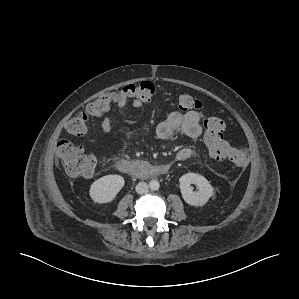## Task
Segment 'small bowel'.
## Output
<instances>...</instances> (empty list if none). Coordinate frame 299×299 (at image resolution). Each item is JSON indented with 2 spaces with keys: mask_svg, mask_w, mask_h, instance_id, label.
I'll list each match as a JSON object with an SVG mask.
<instances>
[{
  "mask_svg": "<svg viewBox=\"0 0 299 299\" xmlns=\"http://www.w3.org/2000/svg\"><path fill=\"white\" fill-rule=\"evenodd\" d=\"M109 101L116 105L118 113L124 114L128 101L132 100L130 108L137 109L142 106L139 100L131 99L124 91H114L107 95ZM202 114L196 111L182 113L174 111L169 116L158 124L156 127V135L159 139L166 140L174 134L181 132L190 138H198L202 135L203 129L201 126ZM112 127V117L105 115L100 123V131L103 135L110 133ZM193 151L189 147L181 148L176 155L177 160L185 161L192 157ZM167 166V164H164Z\"/></svg>",
  "mask_w": 299,
  "mask_h": 299,
  "instance_id": "c3829d8e",
  "label": "small bowel"
}]
</instances>
